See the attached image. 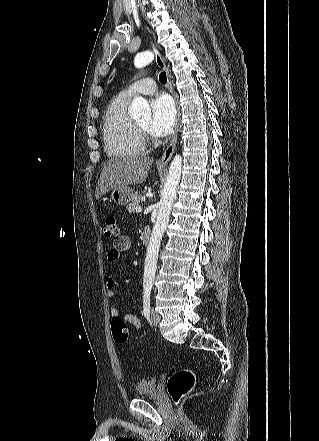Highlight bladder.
Returning <instances> with one entry per match:
<instances>
[{"instance_id":"31cf9c89","label":"bladder","mask_w":319,"mask_h":441,"mask_svg":"<svg viewBox=\"0 0 319 441\" xmlns=\"http://www.w3.org/2000/svg\"><path fill=\"white\" fill-rule=\"evenodd\" d=\"M158 394V383L156 378L143 380L135 386L136 397H154Z\"/></svg>"}]
</instances>
